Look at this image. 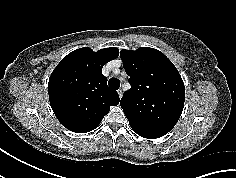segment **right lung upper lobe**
Listing matches in <instances>:
<instances>
[{"mask_svg":"<svg viewBox=\"0 0 236 178\" xmlns=\"http://www.w3.org/2000/svg\"><path fill=\"white\" fill-rule=\"evenodd\" d=\"M117 48L93 52L88 47L69 53L54 69L48 82L51 107L59 122L76 133L94 130L119 103L117 92L107 86L103 66L117 58Z\"/></svg>","mask_w":236,"mask_h":178,"instance_id":"1","label":"right lung upper lobe"}]
</instances>
